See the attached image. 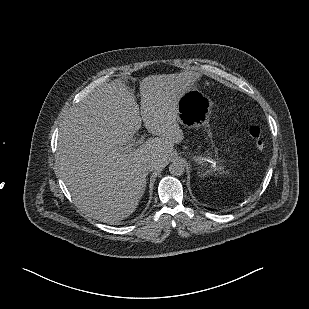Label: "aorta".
I'll list each match as a JSON object with an SVG mask.
<instances>
[{"label": "aorta", "instance_id": "aorta-1", "mask_svg": "<svg viewBox=\"0 0 309 309\" xmlns=\"http://www.w3.org/2000/svg\"><path fill=\"white\" fill-rule=\"evenodd\" d=\"M184 171L185 166L181 160H175L169 166V172L174 176H181L183 175Z\"/></svg>", "mask_w": 309, "mask_h": 309}]
</instances>
